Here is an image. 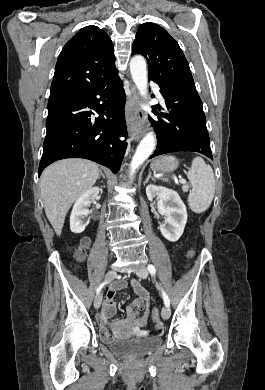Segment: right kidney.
<instances>
[{"instance_id": "1", "label": "right kidney", "mask_w": 265, "mask_h": 390, "mask_svg": "<svg viewBox=\"0 0 265 390\" xmlns=\"http://www.w3.org/2000/svg\"><path fill=\"white\" fill-rule=\"evenodd\" d=\"M99 193L98 187H93L86 192H84L79 198L76 200L71 216H70V229L74 233H82L85 230V227L89 224L91 211L89 210V206L91 204V200L97 197Z\"/></svg>"}]
</instances>
